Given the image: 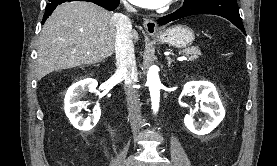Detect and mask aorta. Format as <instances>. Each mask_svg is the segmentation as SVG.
I'll return each instance as SVG.
<instances>
[{
	"label": "aorta",
	"mask_w": 277,
	"mask_h": 166,
	"mask_svg": "<svg viewBox=\"0 0 277 166\" xmlns=\"http://www.w3.org/2000/svg\"><path fill=\"white\" fill-rule=\"evenodd\" d=\"M147 84L150 90L152 109L156 113L160 103L161 82L158 74V68L151 66L147 73Z\"/></svg>",
	"instance_id": "obj_1"
}]
</instances>
